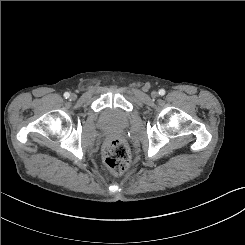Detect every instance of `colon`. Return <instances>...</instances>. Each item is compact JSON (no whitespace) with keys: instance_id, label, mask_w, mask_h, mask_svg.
Returning a JSON list of instances; mask_svg holds the SVG:
<instances>
[{"instance_id":"obj_1","label":"colon","mask_w":245,"mask_h":245,"mask_svg":"<svg viewBox=\"0 0 245 245\" xmlns=\"http://www.w3.org/2000/svg\"><path fill=\"white\" fill-rule=\"evenodd\" d=\"M102 160L110 172L120 175L129 166L130 154L123 142L114 139L104 146Z\"/></svg>"}]
</instances>
